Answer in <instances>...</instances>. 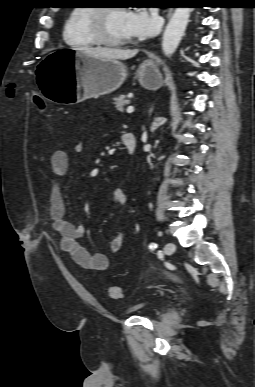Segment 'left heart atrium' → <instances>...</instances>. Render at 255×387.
<instances>
[{
    "label": "left heart atrium",
    "mask_w": 255,
    "mask_h": 387,
    "mask_svg": "<svg viewBox=\"0 0 255 387\" xmlns=\"http://www.w3.org/2000/svg\"><path fill=\"white\" fill-rule=\"evenodd\" d=\"M125 27L129 37L148 38L158 32L160 22L156 15L149 14L144 9H138L126 12Z\"/></svg>",
    "instance_id": "1"
}]
</instances>
